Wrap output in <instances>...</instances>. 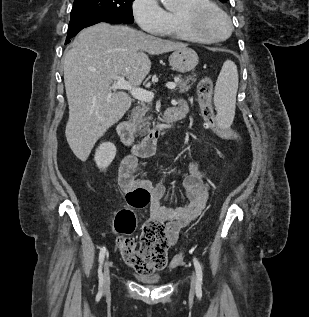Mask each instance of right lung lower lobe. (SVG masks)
<instances>
[{
  "label": "right lung lower lobe",
  "mask_w": 309,
  "mask_h": 317,
  "mask_svg": "<svg viewBox=\"0 0 309 317\" xmlns=\"http://www.w3.org/2000/svg\"><path fill=\"white\" fill-rule=\"evenodd\" d=\"M99 22L121 24V22L118 20H115L109 17H101V16H86V17L71 19L69 23V27H68L65 44L69 43L70 39L73 38L83 28L97 24Z\"/></svg>",
  "instance_id": "right-lung-lower-lobe-1"
}]
</instances>
